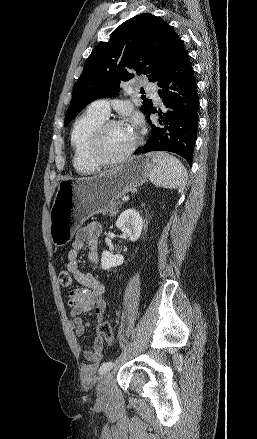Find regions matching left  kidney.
I'll use <instances>...</instances> for the list:
<instances>
[{
  "instance_id": "5707ae66",
  "label": "left kidney",
  "mask_w": 257,
  "mask_h": 439,
  "mask_svg": "<svg viewBox=\"0 0 257 439\" xmlns=\"http://www.w3.org/2000/svg\"><path fill=\"white\" fill-rule=\"evenodd\" d=\"M143 218L135 209L123 211L116 221V227L127 235L130 241L135 242L139 239L143 228ZM124 257L120 254H112L109 251H103L101 256V267L108 270L112 267L122 265Z\"/></svg>"
}]
</instances>
